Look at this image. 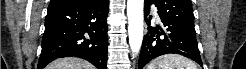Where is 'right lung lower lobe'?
Instances as JSON below:
<instances>
[{
  "label": "right lung lower lobe",
  "instance_id": "right-lung-lower-lobe-1",
  "mask_svg": "<svg viewBox=\"0 0 246 69\" xmlns=\"http://www.w3.org/2000/svg\"><path fill=\"white\" fill-rule=\"evenodd\" d=\"M109 1L49 6L37 69L60 57H80L98 69L107 65Z\"/></svg>",
  "mask_w": 246,
  "mask_h": 69
}]
</instances>
